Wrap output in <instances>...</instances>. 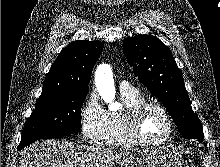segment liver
Wrapping results in <instances>:
<instances>
[{
  "label": "liver",
  "mask_w": 220,
  "mask_h": 167,
  "mask_svg": "<svg viewBox=\"0 0 220 167\" xmlns=\"http://www.w3.org/2000/svg\"><path fill=\"white\" fill-rule=\"evenodd\" d=\"M128 151L123 147L41 140L21 152L19 167H113Z\"/></svg>",
  "instance_id": "1"
}]
</instances>
